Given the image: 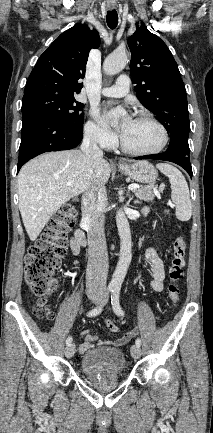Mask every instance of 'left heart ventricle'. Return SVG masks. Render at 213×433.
<instances>
[{
    "instance_id": "obj_1",
    "label": "left heart ventricle",
    "mask_w": 213,
    "mask_h": 433,
    "mask_svg": "<svg viewBox=\"0 0 213 433\" xmlns=\"http://www.w3.org/2000/svg\"><path fill=\"white\" fill-rule=\"evenodd\" d=\"M121 138L129 148L144 151L157 147L161 141V134L152 123L134 119L121 134Z\"/></svg>"
}]
</instances>
